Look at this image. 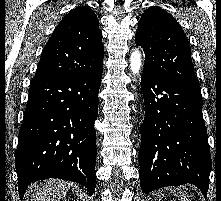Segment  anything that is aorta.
I'll return each instance as SVG.
<instances>
[{
	"instance_id": "1",
	"label": "aorta",
	"mask_w": 221,
	"mask_h": 201,
	"mask_svg": "<svg viewBox=\"0 0 221 201\" xmlns=\"http://www.w3.org/2000/svg\"><path fill=\"white\" fill-rule=\"evenodd\" d=\"M142 65L141 53L139 50H134L130 56V69L133 75H138Z\"/></svg>"
}]
</instances>
